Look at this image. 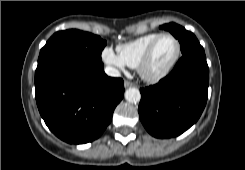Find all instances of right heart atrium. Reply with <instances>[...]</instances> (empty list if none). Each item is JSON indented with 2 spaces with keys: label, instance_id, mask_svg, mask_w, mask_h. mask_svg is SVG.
<instances>
[{
  "label": "right heart atrium",
  "instance_id": "right-heart-atrium-1",
  "mask_svg": "<svg viewBox=\"0 0 245 170\" xmlns=\"http://www.w3.org/2000/svg\"><path fill=\"white\" fill-rule=\"evenodd\" d=\"M102 59L107 65L111 66L113 70L123 69L125 66L120 57L109 47H106L102 51Z\"/></svg>",
  "mask_w": 245,
  "mask_h": 170
}]
</instances>
